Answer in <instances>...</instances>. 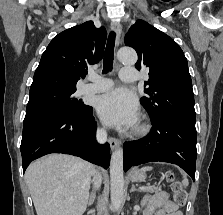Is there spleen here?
Listing matches in <instances>:
<instances>
[{
	"label": "spleen",
	"mask_w": 223,
	"mask_h": 215,
	"mask_svg": "<svg viewBox=\"0 0 223 215\" xmlns=\"http://www.w3.org/2000/svg\"><path fill=\"white\" fill-rule=\"evenodd\" d=\"M149 169H152V167H149V165H147V167H142V171H149ZM183 177H184V179H182V183L186 187V185H188V179H187L185 173H184Z\"/></svg>",
	"instance_id": "1"
}]
</instances>
